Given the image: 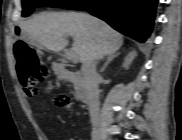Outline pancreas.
<instances>
[{
    "mask_svg": "<svg viewBox=\"0 0 182 140\" xmlns=\"http://www.w3.org/2000/svg\"><path fill=\"white\" fill-rule=\"evenodd\" d=\"M65 66V63L55 64L53 67L55 75L59 80L73 81L72 74L65 69ZM75 88H78V86H76Z\"/></svg>",
    "mask_w": 182,
    "mask_h": 140,
    "instance_id": "obj_1",
    "label": "pancreas"
}]
</instances>
